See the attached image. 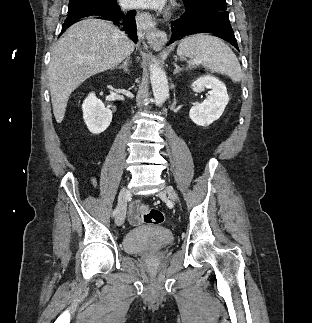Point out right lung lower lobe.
Listing matches in <instances>:
<instances>
[{"mask_svg": "<svg viewBox=\"0 0 312 323\" xmlns=\"http://www.w3.org/2000/svg\"><path fill=\"white\" fill-rule=\"evenodd\" d=\"M86 16H98L99 19L113 21V24L129 34L130 38L137 41L135 11L123 12L117 3L75 10L68 13L62 26V33L73 23Z\"/></svg>", "mask_w": 312, "mask_h": 323, "instance_id": "right-lung-lower-lobe-1", "label": "right lung lower lobe"}]
</instances>
